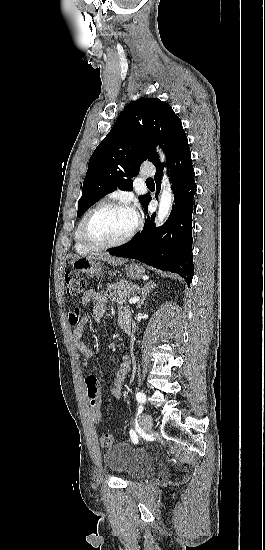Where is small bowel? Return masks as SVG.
Segmentation results:
<instances>
[{
  "mask_svg": "<svg viewBox=\"0 0 265 550\" xmlns=\"http://www.w3.org/2000/svg\"><path fill=\"white\" fill-rule=\"evenodd\" d=\"M82 302L93 304L92 320L95 323H98L106 314L107 296L104 292L90 290L83 295ZM117 313H118V323L120 327L125 333H130L131 332V312L129 308H127L126 306H118ZM74 320L76 321L74 331H73V339H74L75 347L84 356L86 360H92L94 357L93 349L87 346L82 341L83 329H84V326L89 322V318L88 317L80 318L78 316H74ZM129 367H130V358L128 356L122 357L118 365V368L115 372L113 385L110 390L111 395L114 398H120L122 395V388H123V384H124L126 375L128 373ZM100 420H95V421L98 422Z\"/></svg>",
  "mask_w": 265,
  "mask_h": 550,
  "instance_id": "obj_1",
  "label": "small bowel"
}]
</instances>
